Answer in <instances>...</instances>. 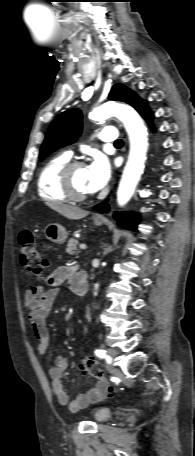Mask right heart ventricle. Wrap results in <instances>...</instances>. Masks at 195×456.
Wrapping results in <instances>:
<instances>
[{"label": "right heart ventricle", "mask_w": 195, "mask_h": 456, "mask_svg": "<svg viewBox=\"0 0 195 456\" xmlns=\"http://www.w3.org/2000/svg\"><path fill=\"white\" fill-rule=\"evenodd\" d=\"M69 162L70 156L63 153L54 156L42 167L37 180L38 194L41 198L55 202L67 200L61 187L60 173Z\"/></svg>", "instance_id": "obj_1"}]
</instances>
